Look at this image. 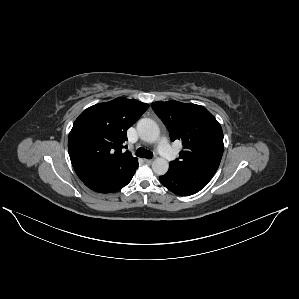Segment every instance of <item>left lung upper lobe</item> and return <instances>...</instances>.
<instances>
[{
    "mask_svg": "<svg viewBox=\"0 0 299 299\" xmlns=\"http://www.w3.org/2000/svg\"><path fill=\"white\" fill-rule=\"evenodd\" d=\"M151 106L166 125L171 140H180L183 144L179 159L170 162V167L218 169L224 149L223 132L205 107L178 101L153 102Z\"/></svg>",
    "mask_w": 299,
    "mask_h": 299,
    "instance_id": "left-lung-upper-lobe-1",
    "label": "left lung upper lobe"
}]
</instances>
